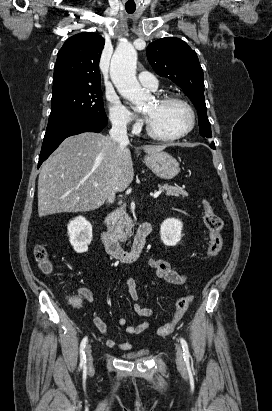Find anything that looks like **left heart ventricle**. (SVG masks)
<instances>
[{
  "mask_svg": "<svg viewBox=\"0 0 272 411\" xmlns=\"http://www.w3.org/2000/svg\"><path fill=\"white\" fill-rule=\"evenodd\" d=\"M144 111L152 129L165 136H173L183 132L189 125L188 110L179 103L149 102Z\"/></svg>",
  "mask_w": 272,
  "mask_h": 411,
  "instance_id": "left-heart-ventricle-1",
  "label": "left heart ventricle"
}]
</instances>
